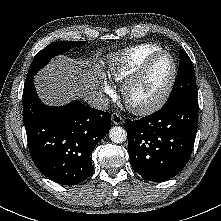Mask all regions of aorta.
Returning <instances> with one entry per match:
<instances>
[{"label": "aorta", "mask_w": 221, "mask_h": 221, "mask_svg": "<svg viewBox=\"0 0 221 221\" xmlns=\"http://www.w3.org/2000/svg\"><path fill=\"white\" fill-rule=\"evenodd\" d=\"M109 138L114 143H122L127 139L126 130L119 126L112 127L109 131Z\"/></svg>", "instance_id": "obj_1"}]
</instances>
